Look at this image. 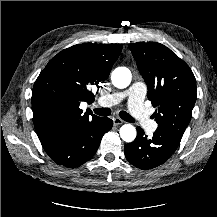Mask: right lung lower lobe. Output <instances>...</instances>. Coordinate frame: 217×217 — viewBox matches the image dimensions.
<instances>
[{
  "label": "right lung lower lobe",
  "mask_w": 217,
  "mask_h": 217,
  "mask_svg": "<svg viewBox=\"0 0 217 217\" xmlns=\"http://www.w3.org/2000/svg\"><path fill=\"white\" fill-rule=\"evenodd\" d=\"M112 125L111 119L98 117L77 130L41 141V144L54 162L74 168L94 156L103 135L111 129Z\"/></svg>",
  "instance_id": "98d812e1"
}]
</instances>
